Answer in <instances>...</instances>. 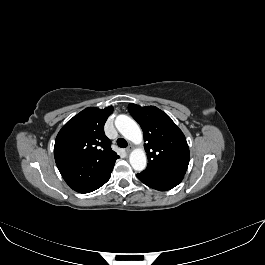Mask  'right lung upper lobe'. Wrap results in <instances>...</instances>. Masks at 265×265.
<instances>
[{
    "mask_svg": "<svg viewBox=\"0 0 265 265\" xmlns=\"http://www.w3.org/2000/svg\"><path fill=\"white\" fill-rule=\"evenodd\" d=\"M112 112V106L88 107L71 118L56 137L57 167L69 187L77 192L111 173L119 158L104 133V124Z\"/></svg>",
    "mask_w": 265,
    "mask_h": 265,
    "instance_id": "1",
    "label": "right lung upper lobe"
}]
</instances>
